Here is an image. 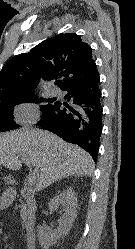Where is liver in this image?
<instances>
[{
    "label": "liver",
    "instance_id": "1",
    "mask_svg": "<svg viewBox=\"0 0 135 249\" xmlns=\"http://www.w3.org/2000/svg\"><path fill=\"white\" fill-rule=\"evenodd\" d=\"M23 157L36 167L38 191L69 176H91L95 167L89 153L50 132L32 129L0 134V164L17 171Z\"/></svg>",
    "mask_w": 135,
    "mask_h": 249
}]
</instances>
